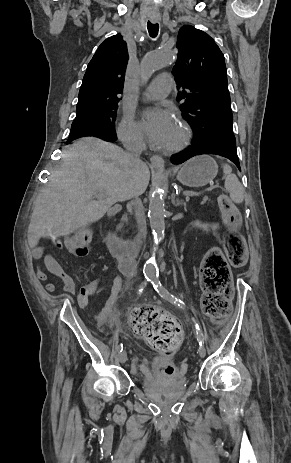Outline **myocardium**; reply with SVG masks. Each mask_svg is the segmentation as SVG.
<instances>
[{
    "label": "myocardium",
    "instance_id": "f54148a6",
    "mask_svg": "<svg viewBox=\"0 0 291 463\" xmlns=\"http://www.w3.org/2000/svg\"><path fill=\"white\" fill-rule=\"evenodd\" d=\"M177 127H178V130H179V137L177 139V141L175 143H173L172 145L170 146H166L164 151L167 152V153H175V152H178L182 149H184L188 143L190 142V139H191V130L189 128V126L182 122V121H179L177 123Z\"/></svg>",
    "mask_w": 291,
    "mask_h": 463
}]
</instances>
